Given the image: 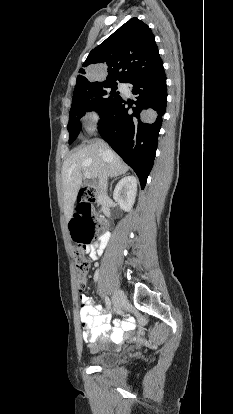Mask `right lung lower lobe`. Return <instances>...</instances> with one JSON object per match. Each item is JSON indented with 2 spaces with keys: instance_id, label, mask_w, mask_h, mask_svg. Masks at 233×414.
Listing matches in <instances>:
<instances>
[{
  "instance_id": "obj_1",
  "label": "right lung lower lobe",
  "mask_w": 233,
  "mask_h": 414,
  "mask_svg": "<svg viewBox=\"0 0 233 414\" xmlns=\"http://www.w3.org/2000/svg\"><path fill=\"white\" fill-rule=\"evenodd\" d=\"M132 93L138 95L135 104L120 98L100 115L98 132L118 155L136 172L144 188L153 166L157 138L165 113L167 90L164 68L136 77Z\"/></svg>"
}]
</instances>
